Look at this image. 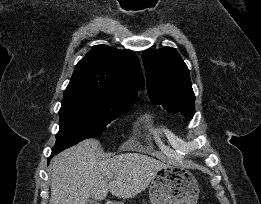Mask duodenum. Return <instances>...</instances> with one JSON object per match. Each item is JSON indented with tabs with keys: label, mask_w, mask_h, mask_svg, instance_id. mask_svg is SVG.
Instances as JSON below:
<instances>
[{
	"label": "duodenum",
	"mask_w": 261,
	"mask_h": 204,
	"mask_svg": "<svg viewBox=\"0 0 261 204\" xmlns=\"http://www.w3.org/2000/svg\"><path fill=\"white\" fill-rule=\"evenodd\" d=\"M106 204H115V203H112V202H108V203H106Z\"/></svg>",
	"instance_id": "obj_1"
}]
</instances>
